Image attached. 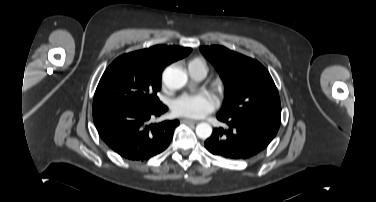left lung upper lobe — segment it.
<instances>
[{"instance_id":"left-lung-upper-lobe-1","label":"left lung upper lobe","mask_w":376,"mask_h":202,"mask_svg":"<svg viewBox=\"0 0 376 202\" xmlns=\"http://www.w3.org/2000/svg\"><path fill=\"white\" fill-rule=\"evenodd\" d=\"M225 85V102L219 114L229 117L259 116L280 123L278 90L258 61L223 46L200 47Z\"/></svg>"}]
</instances>
